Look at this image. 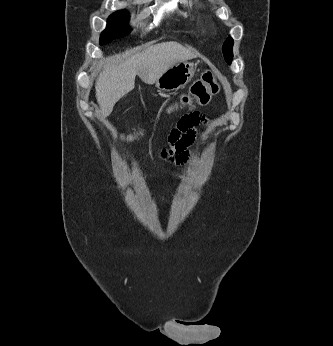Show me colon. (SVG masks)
<instances>
[{
  "instance_id": "obj_1",
  "label": "colon",
  "mask_w": 333,
  "mask_h": 346,
  "mask_svg": "<svg viewBox=\"0 0 333 346\" xmlns=\"http://www.w3.org/2000/svg\"><path fill=\"white\" fill-rule=\"evenodd\" d=\"M217 92L218 85L214 80L212 72H205L201 79L192 84L189 92L183 94L180 98V104L188 110V113L185 115L200 116V114L196 112L195 106L207 104L210 97ZM140 134L141 132H137L132 138H137Z\"/></svg>"
}]
</instances>
